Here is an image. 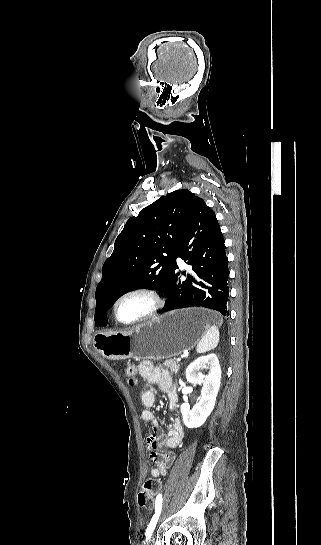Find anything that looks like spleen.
I'll use <instances>...</instances> for the list:
<instances>
[{
  "label": "spleen",
  "instance_id": "spleen-1",
  "mask_svg": "<svg viewBox=\"0 0 321 545\" xmlns=\"http://www.w3.org/2000/svg\"><path fill=\"white\" fill-rule=\"evenodd\" d=\"M220 339V333L216 325H212L205 335H203L200 343L197 345V353H207V351H212L216 349Z\"/></svg>",
  "mask_w": 321,
  "mask_h": 545
}]
</instances>
